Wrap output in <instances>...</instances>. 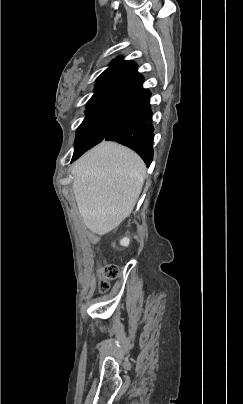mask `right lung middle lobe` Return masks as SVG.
<instances>
[{
	"instance_id": "obj_1",
	"label": "right lung middle lobe",
	"mask_w": 243,
	"mask_h": 404,
	"mask_svg": "<svg viewBox=\"0 0 243 404\" xmlns=\"http://www.w3.org/2000/svg\"><path fill=\"white\" fill-rule=\"evenodd\" d=\"M127 104L103 103L87 106L86 117L77 129L72 162L103 141L116 118Z\"/></svg>"
}]
</instances>
